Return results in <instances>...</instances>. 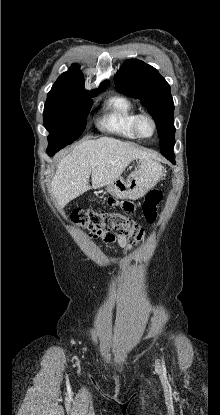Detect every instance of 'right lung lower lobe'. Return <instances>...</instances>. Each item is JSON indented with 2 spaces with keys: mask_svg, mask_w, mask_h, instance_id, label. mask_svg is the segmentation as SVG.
<instances>
[{
  "mask_svg": "<svg viewBox=\"0 0 220 415\" xmlns=\"http://www.w3.org/2000/svg\"><path fill=\"white\" fill-rule=\"evenodd\" d=\"M56 152L55 150H47L49 156H53Z\"/></svg>",
  "mask_w": 220,
  "mask_h": 415,
  "instance_id": "1",
  "label": "right lung lower lobe"
}]
</instances>
